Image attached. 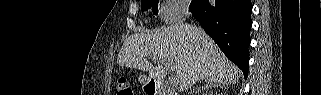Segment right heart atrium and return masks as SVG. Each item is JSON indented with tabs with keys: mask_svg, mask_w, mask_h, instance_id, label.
I'll return each instance as SVG.
<instances>
[{
	"mask_svg": "<svg viewBox=\"0 0 321 95\" xmlns=\"http://www.w3.org/2000/svg\"><path fill=\"white\" fill-rule=\"evenodd\" d=\"M189 12V1L169 0L163 2L159 7L160 17L166 23L181 21Z\"/></svg>",
	"mask_w": 321,
	"mask_h": 95,
	"instance_id": "right-heart-atrium-1",
	"label": "right heart atrium"
}]
</instances>
